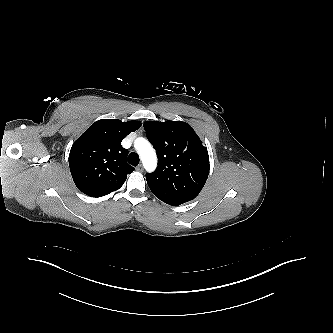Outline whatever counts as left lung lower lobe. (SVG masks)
Returning a JSON list of instances; mask_svg holds the SVG:
<instances>
[{"label": "left lung lower lobe", "instance_id": "0a47b994", "mask_svg": "<svg viewBox=\"0 0 333 333\" xmlns=\"http://www.w3.org/2000/svg\"><path fill=\"white\" fill-rule=\"evenodd\" d=\"M165 203L173 206H178L180 204L185 203V201H180V200H166Z\"/></svg>", "mask_w": 333, "mask_h": 333}]
</instances>
